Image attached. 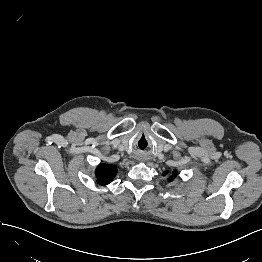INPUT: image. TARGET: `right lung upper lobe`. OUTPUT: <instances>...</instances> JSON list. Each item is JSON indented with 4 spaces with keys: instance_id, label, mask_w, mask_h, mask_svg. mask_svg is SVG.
Masks as SVG:
<instances>
[{
    "instance_id": "1",
    "label": "right lung upper lobe",
    "mask_w": 262,
    "mask_h": 262,
    "mask_svg": "<svg viewBox=\"0 0 262 262\" xmlns=\"http://www.w3.org/2000/svg\"><path fill=\"white\" fill-rule=\"evenodd\" d=\"M117 173V168L113 165L101 164L96 169L97 182L106 185L112 182Z\"/></svg>"
}]
</instances>
